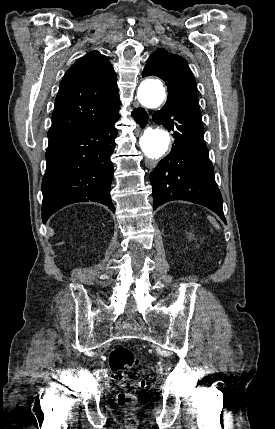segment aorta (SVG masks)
Wrapping results in <instances>:
<instances>
[{"instance_id":"obj_1","label":"aorta","mask_w":275,"mask_h":429,"mask_svg":"<svg viewBox=\"0 0 275 429\" xmlns=\"http://www.w3.org/2000/svg\"><path fill=\"white\" fill-rule=\"evenodd\" d=\"M138 100L146 108H158L165 100V89L156 79L144 80L138 88ZM144 154L151 159L163 156L170 144L169 133L159 127H148L139 140Z\"/></svg>"}]
</instances>
